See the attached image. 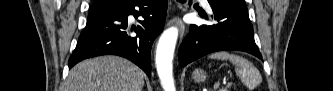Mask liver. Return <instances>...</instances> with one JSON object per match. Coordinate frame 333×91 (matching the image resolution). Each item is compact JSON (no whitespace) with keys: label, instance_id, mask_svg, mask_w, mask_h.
I'll return each mask as SVG.
<instances>
[{"label":"liver","instance_id":"obj_1","mask_svg":"<svg viewBox=\"0 0 333 91\" xmlns=\"http://www.w3.org/2000/svg\"><path fill=\"white\" fill-rule=\"evenodd\" d=\"M143 85L139 67L124 58L103 56L74 66L64 91H142Z\"/></svg>","mask_w":333,"mask_h":91}]
</instances>
